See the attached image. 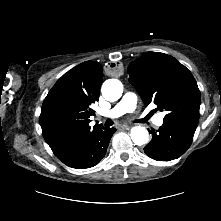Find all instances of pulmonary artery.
<instances>
[{"label": "pulmonary artery", "mask_w": 221, "mask_h": 221, "mask_svg": "<svg viewBox=\"0 0 221 221\" xmlns=\"http://www.w3.org/2000/svg\"><path fill=\"white\" fill-rule=\"evenodd\" d=\"M137 106V96L134 93L128 92L123 98L110 110L103 111L100 114L106 118H117L127 112H132L136 109ZM163 115L158 114L155 116H147L150 118L156 125L160 126L163 123Z\"/></svg>", "instance_id": "1"}]
</instances>
